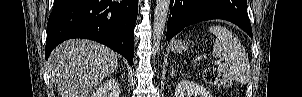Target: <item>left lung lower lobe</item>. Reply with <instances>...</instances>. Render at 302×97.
<instances>
[{
	"mask_svg": "<svg viewBox=\"0 0 302 97\" xmlns=\"http://www.w3.org/2000/svg\"><path fill=\"white\" fill-rule=\"evenodd\" d=\"M247 0H171L166 39L201 21L224 19L243 29L252 38Z\"/></svg>",
	"mask_w": 302,
	"mask_h": 97,
	"instance_id": "0a47b994",
	"label": "left lung lower lobe"
}]
</instances>
